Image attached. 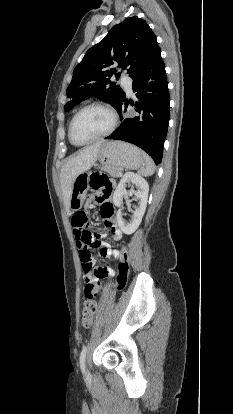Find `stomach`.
<instances>
[{
	"mask_svg": "<svg viewBox=\"0 0 233 414\" xmlns=\"http://www.w3.org/2000/svg\"><path fill=\"white\" fill-rule=\"evenodd\" d=\"M103 169H138L144 163L143 152L128 143L120 141L104 142L98 157ZM86 171L76 174V180L72 187L70 208L74 209L82 205L88 179Z\"/></svg>",
	"mask_w": 233,
	"mask_h": 414,
	"instance_id": "0dacf381",
	"label": "stomach"
}]
</instances>
